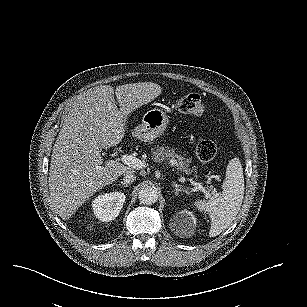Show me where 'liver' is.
Segmentation results:
<instances>
[{
    "label": "liver",
    "instance_id": "liver-1",
    "mask_svg": "<svg viewBox=\"0 0 307 307\" xmlns=\"http://www.w3.org/2000/svg\"><path fill=\"white\" fill-rule=\"evenodd\" d=\"M161 92L151 82L90 88L70 104L54 143L48 175L52 207L70 217L92 193L133 170L115 160L104 161L102 149L124 136L123 118ZM120 105V109L117 106Z\"/></svg>",
    "mask_w": 307,
    "mask_h": 307
}]
</instances>
